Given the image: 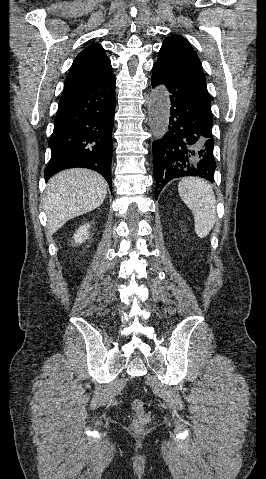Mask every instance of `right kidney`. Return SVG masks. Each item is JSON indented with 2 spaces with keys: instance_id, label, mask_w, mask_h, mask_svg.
<instances>
[{
  "instance_id": "ca27d5eb",
  "label": "right kidney",
  "mask_w": 266,
  "mask_h": 479,
  "mask_svg": "<svg viewBox=\"0 0 266 479\" xmlns=\"http://www.w3.org/2000/svg\"><path fill=\"white\" fill-rule=\"evenodd\" d=\"M89 228L90 224H85L76 231L73 237L76 244H81L88 238Z\"/></svg>"
}]
</instances>
